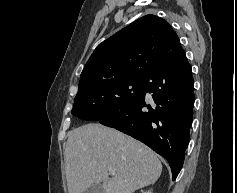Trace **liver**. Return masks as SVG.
<instances>
[{"instance_id": "6515ba94", "label": "liver", "mask_w": 237, "mask_h": 193, "mask_svg": "<svg viewBox=\"0 0 237 193\" xmlns=\"http://www.w3.org/2000/svg\"><path fill=\"white\" fill-rule=\"evenodd\" d=\"M64 160L69 193H83L100 182L104 193H133L154 184L162 172V164L150 148L94 123L70 132ZM109 168L116 172L112 178Z\"/></svg>"}]
</instances>
